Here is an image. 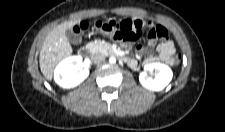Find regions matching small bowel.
Masks as SVG:
<instances>
[{
  "label": "small bowel",
  "mask_w": 225,
  "mask_h": 132,
  "mask_svg": "<svg viewBox=\"0 0 225 132\" xmlns=\"http://www.w3.org/2000/svg\"><path fill=\"white\" fill-rule=\"evenodd\" d=\"M118 28H120L121 31H133L137 28H141V31L143 29H152L155 26L151 21H143L139 19L131 20V19H123L120 21H113ZM161 27V26H160ZM163 28V27H162ZM156 40L149 39V48H142L138 47V50L140 52H144L147 54V60L152 62L155 60H161L167 64H174V55L176 52V48L174 43L169 40L168 38H164V41H162L157 46V55H154L151 51V48L154 47ZM129 64L131 67L136 66V61L133 59L129 60Z\"/></svg>",
  "instance_id": "c3829d8e"
}]
</instances>
